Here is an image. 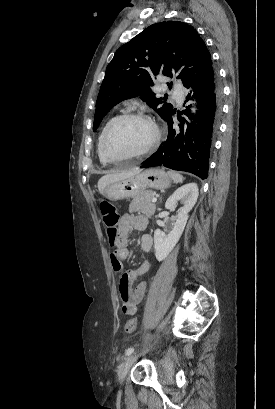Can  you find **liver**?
Wrapping results in <instances>:
<instances>
[{"mask_svg":"<svg viewBox=\"0 0 275 409\" xmlns=\"http://www.w3.org/2000/svg\"><path fill=\"white\" fill-rule=\"evenodd\" d=\"M140 168H133V170H129V172H116V174H105V176H101L98 180V190L101 194H104V188L110 182H116V180H122V178H129V176H134V174H139Z\"/></svg>","mask_w":275,"mask_h":409,"instance_id":"liver-1","label":"liver"}]
</instances>
